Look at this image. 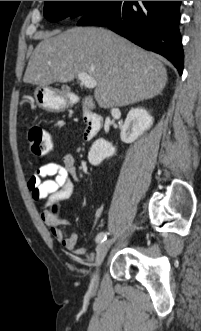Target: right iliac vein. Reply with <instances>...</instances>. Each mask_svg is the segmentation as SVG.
<instances>
[{
	"mask_svg": "<svg viewBox=\"0 0 201 331\" xmlns=\"http://www.w3.org/2000/svg\"><path fill=\"white\" fill-rule=\"evenodd\" d=\"M112 244L111 240H106L102 242L96 250V261H95V272L92 276L91 279V284H90V290L95 291L97 289L98 283H99V271H100V266Z\"/></svg>",
	"mask_w": 201,
	"mask_h": 331,
	"instance_id": "63e3f726",
	"label": "right iliac vein"
}]
</instances>
